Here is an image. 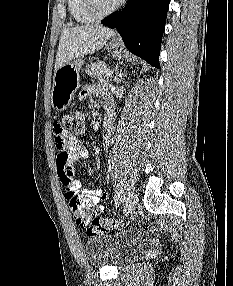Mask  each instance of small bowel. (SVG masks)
I'll return each mask as SVG.
<instances>
[{"mask_svg":"<svg viewBox=\"0 0 233 286\" xmlns=\"http://www.w3.org/2000/svg\"><path fill=\"white\" fill-rule=\"evenodd\" d=\"M94 94L100 96L107 105L110 103L109 85L105 83L86 85L80 93V99H87ZM107 125L109 126L110 124L107 123ZM53 130L57 148L56 168L65 189L66 200V194L70 191L74 192L81 199L83 208L86 211L89 213L101 212L102 206L100 205V201L107 197V193L102 188L83 189L81 181L75 177L76 168L88 159L89 154L87 149L81 144L77 136L68 131L61 130L58 123L54 124ZM109 136L110 129L107 127L103 137L105 147L109 144ZM75 219L79 225H86L84 221H80L76 216Z\"/></svg>","mask_w":233,"mask_h":286,"instance_id":"obj_1","label":"small bowel"}]
</instances>
